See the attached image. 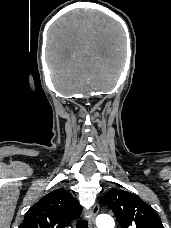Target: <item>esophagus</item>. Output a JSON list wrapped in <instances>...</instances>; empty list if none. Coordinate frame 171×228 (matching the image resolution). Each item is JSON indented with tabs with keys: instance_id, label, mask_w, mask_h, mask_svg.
<instances>
[{
	"instance_id": "34e87169",
	"label": "esophagus",
	"mask_w": 171,
	"mask_h": 228,
	"mask_svg": "<svg viewBox=\"0 0 171 228\" xmlns=\"http://www.w3.org/2000/svg\"><path fill=\"white\" fill-rule=\"evenodd\" d=\"M99 211V205L95 204L90 211L89 228H96L95 218Z\"/></svg>"
}]
</instances>
